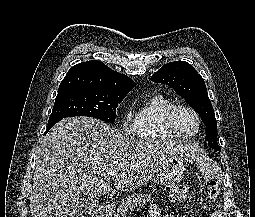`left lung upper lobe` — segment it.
Returning <instances> with one entry per match:
<instances>
[{"label": "left lung upper lobe", "mask_w": 255, "mask_h": 217, "mask_svg": "<svg viewBox=\"0 0 255 217\" xmlns=\"http://www.w3.org/2000/svg\"><path fill=\"white\" fill-rule=\"evenodd\" d=\"M151 80L173 88L199 113L206 126L205 140L211 148L221 151L217 143V122L206 85L194 67L183 61L170 62L154 73Z\"/></svg>", "instance_id": "5c2ea615"}]
</instances>
